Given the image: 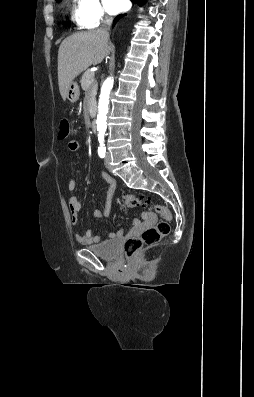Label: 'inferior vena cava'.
Segmentation results:
<instances>
[{"label":"inferior vena cava","instance_id":"602c4592","mask_svg":"<svg viewBox=\"0 0 254 397\" xmlns=\"http://www.w3.org/2000/svg\"><path fill=\"white\" fill-rule=\"evenodd\" d=\"M111 24H112V19L105 18L103 20L100 28L98 29V32H99L100 36L106 42H108V39H109V30H110Z\"/></svg>","mask_w":254,"mask_h":397}]
</instances>
